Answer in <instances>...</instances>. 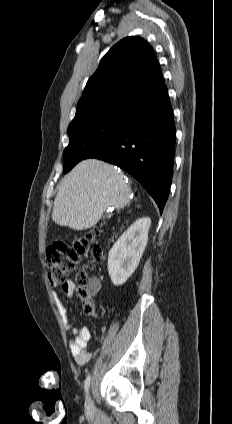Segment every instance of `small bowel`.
<instances>
[{"instance_id":"c3829d8e","label":"small bowel","mask_w":232,"mask_h":424,"mask_svg":"<svg viewBox=\"0 0 232 424\" xmlns=\"http://www.w3.org/2000/svg\"><path fill=\"white\" fill-rule=\"evenodd\" d=\"M101 288L99 280H94V293H98ZM75 289L73 281L68 280L61 285V290L64 296H70ZM54 299L58 312L62 318V322L67 329H70L74 334V339L70 342V351L75 358V361L80 364H86L91 359V353L88 350V342L91 338V333L88 327L76 328L70 320L68 310L63 303L62 297L58 292H54Z\"/></svg>"}]
</instances>
